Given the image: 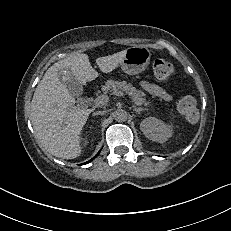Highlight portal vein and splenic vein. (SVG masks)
<instances>
[{"mask_svg": "<svg viewBox=\"0 0 231 231\" xmlns=\"http://www.w3.org/2000/svg\"><path fill=\"white\" fill-rule=\"evenodd\" d=\"M113 94L116 96H124L123 92L118 91V90L114 91ZM108 100H109L108 96L100 95L94 100V103L98 106L105 105V104H107Z\"/></svg>", "mask_w": 231, "mask_h": 231, "instance_id": "1", "label": "portal vein and splenic vein"}]
</instances>
